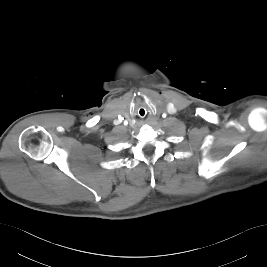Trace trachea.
I'll list each match as a JSON object with an SVG mask.
<instances>
[{"mask_svg": "<svg viewBox=\"0 0 267 267\" xmlns=\"http://www.w3.org/2000/svg\"><path fill=\"white\" fill-rule=\"evenodd\" d=\"M137 114H138L139 118H141V119H143V118H145L147 116L146 111H145L144 108L138 109Z\"/></svg>", "mask_w": 267, "mask_h": 267, "instance_id": "obj_1", "label": "trachea"}]
</instances>
